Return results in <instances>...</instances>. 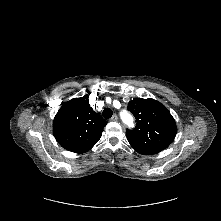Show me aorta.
Returning a JSON list of instances; mask_svg holds the SVG:
<instances>
[{
	"label": "aorta",
	"instance_id": "obj_1",
	"mask_svg": "<svg viewBox=\"0 0 221 221\" xmlns=\"http://www.w3.org/2000/svg\"><path fill=\"white\" fill-rule=\"evenodd\" d=\"M121 116H122V119H123V121H124L125 123H130V122H132V116H131L128 112L123 111L122 114H121Z\"/></svg>",
	"mask_w": 221,
	"mask_h": 221
}]
</instances>
